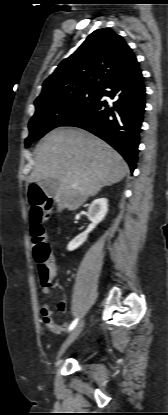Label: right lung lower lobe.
<instances>
[{
    "instance_id": "98d812e1",
    "label": "right lung lower lobe",
    "mask_w": 168,
    "mask_h": 415,
    "mask_svg": "<svg viewBox=\"0 0 168 415\" xmlns=\"http://www.w3.org/2000/svg\"><path fill=\"white\" fill-rule=\"evenodd\" d=\"M103 96L115 101L109 104ZM144 108L145 86L137 63L104 86L98 101L62 126L79 127L100 137L124 157L133 172Z\"/></svg>"
}]
</instances>
